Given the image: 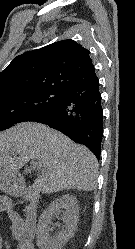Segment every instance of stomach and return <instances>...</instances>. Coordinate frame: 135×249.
I'll return each mask as SVG.
<instances>
[{
    "mask_svg": "<svg viewBox=\"0 0 135 249\" xmlns=\"http://www.w3.org/2000/svg\"><path fill=\"white\" fill-rule=\"evenodd\" d=\"M16 175L14 172L9 171L3 167L0 168V188L9 191L13 190V184H16Z\"/></svg>",
    "mask_w": 135,
    "mask_h": 249,
    "instance_id": "obj_1",
    "label": "stomach"
}]
</instances>
